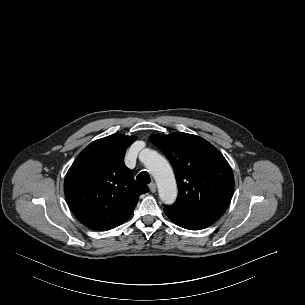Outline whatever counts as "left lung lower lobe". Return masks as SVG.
<instances>
[{"mask_svg": "<svg viewBox=\"0 0 305 305\" xmlns=\"http://www.w3.org/2000/svg\"><path fill=\"white\" fill-rule=\"evenodd\" d=\"M164 212L172 222L180 227L189 230H199L206 228L220 218L219 215L188 216L183 214H176L166 209H164Z\"/></svg>", "mask_w": 305, "mask_h": 305, "instance_id": "obj_1", "label": "left lung lower lobe"}]
</instances>
